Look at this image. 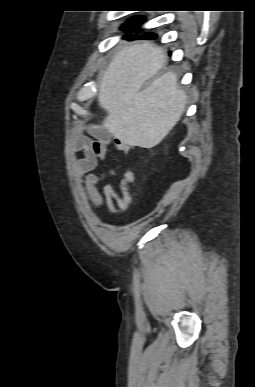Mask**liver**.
<instances>
[{
    "label": "liver",
    "mask_w": 255,
    "mask_h": 387,
    "mask_svg": "<svg viewBox=\"0 0 255 387\" xmlns=\"http://www.w3.org/2000/svg\"><path fill=\"white\" fill-rule=\"evenodd\" d=\"M165 61L162 49L145 41L120 47L104 72L98 92L99 105L107 111L103 127L122 143L150 149L180 120L186 94L174 72L142 89Z\"/></svg>",
    "instance_id": "1"
}]
</instances>
